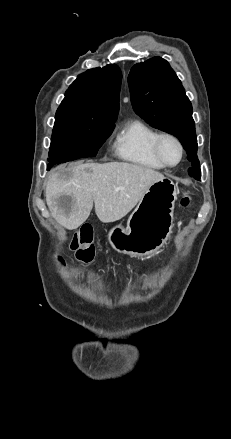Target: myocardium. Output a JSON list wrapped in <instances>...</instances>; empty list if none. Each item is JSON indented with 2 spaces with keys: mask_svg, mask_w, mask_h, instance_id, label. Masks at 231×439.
Returning a JSON list of instances; mask_svg holds the SVG:
<instances>
[{
  "mask_svg": "<svg viewBox=\"0 0 231 439\" xmlns=\"http://www.w3.org/2000/svg\"><path fill=\"white\" fill-rule=\"evenodd\" d=\"M164 139L173 140L177 144V146L179 147L180 157H179V160L175 164H170L169 162H167L162 154L161 144H162V141ZM153 153H154L155 157L157 158V160L164 167L173 168V167L178 166L183 161L185 149H184V145H183L182 141L176 135L169 133V132H162V133H158V135L155 137V139L153 141Z\"/></svg>",
  "mask_w": 231,
  "mask_h": 439,
  "instance_id": "obj_1",
  "label": "myocardium"
}]
</instances>
